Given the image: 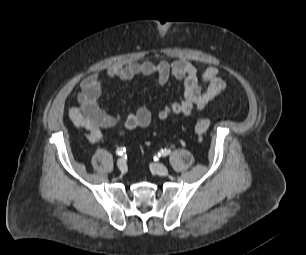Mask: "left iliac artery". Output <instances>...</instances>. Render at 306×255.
<instances>
[{"label": "left iliac artery", "instance_id": "44dca946", "mask_svg": "<svg viewBox=\"0 0 306 255\" xmlns=\"http://www.w3.org/2000/svg\"><path fill=\"white\" fill-rule=\"evenodd\" d=\"M171 153V150L170 149H162L159 153H158V156H167Z\"/></svg>", "mask_w": 306, "mask_h": 255}]
</instances>
